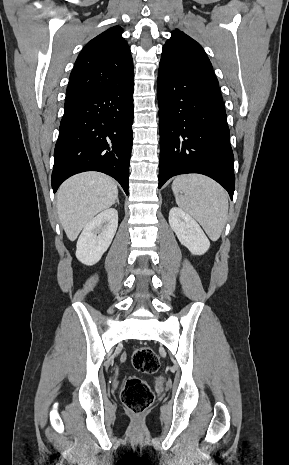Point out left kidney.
I'll return each instance as SVG.
<instances>
[{
  "mask_svg": "<svg viewBox=\"0 0 289 465\" xmlns=\"http://www.w3.org/2000/svg\"><path fill=\"white\" fill-rule=\"evenodd\" d=\"M169 224L181 244L193 255H202L210 247V242L199 224L182 209L173 207L169 212Z\"/></svg>",
  "mask_w": 289,
  "mask_h": 465,
  "instance_id": "5707ae66",
  "label": "left kidney"
}]
</instances>
